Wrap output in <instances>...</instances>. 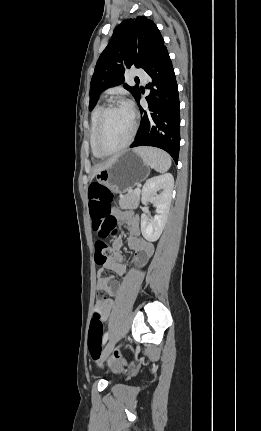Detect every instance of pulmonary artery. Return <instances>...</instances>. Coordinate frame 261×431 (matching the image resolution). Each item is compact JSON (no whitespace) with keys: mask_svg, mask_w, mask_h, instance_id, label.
Masks as SVG:
<instances>
[{"mask_svg":"<svg viewBox=\"0 0 261 431\" xmlns=\"http://www.w3.org/2000/svg\"><path fill=\"white\" fill-rule=\"evenodd\" d=\"M132 74L134 77L139 78L143 82H146L148 80L147 73L144 70L141 69H135L132 71Z\"/></svg>","mask_w":261,"mask_h":431,"instance_id":"e3ab8cb5","label":"pulmonary artery"}]
</instances>
